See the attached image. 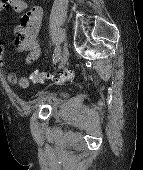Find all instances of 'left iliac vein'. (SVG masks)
Returning a JSON list of instances; mask_svg holds the SVG:
<instances>
[{
  "label": "left iliac vein",
  "mask_w": 143,
  "mask_h": 170,
  "mask_svg": "<svg viewBox=\"0 0 143 170\" xmlns=\"http://www.w3.org/2000/svg\"><path fill=\"white\" fill-rule=\"evenodd\" d=\"M69 55L70 54H69V50L67 48V43H65L64 50H63V53L60 58V65H59L60 68H63L66 65V63L68 62V59H69Z\"/></svg>",
  "instance_id": "obj_1"
}]
</instances>
